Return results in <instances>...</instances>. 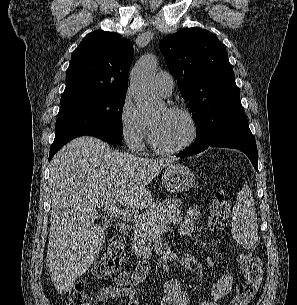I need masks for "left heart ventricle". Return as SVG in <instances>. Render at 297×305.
Returning <instances> with one entry per match:
<instances>
[{
    "label": "left heart ventricle",
    "mask_w": 297,
    "mask_h": 305,
    "mask_svg": "<svg viewBox=\"0 0 297 305\" xmlns=\"http://www.w3.org/2000/svg\"><path fill=\"white\" fill-rule=\"evenodd\" d=\"M155 140L163 147H175L190 136L189 121L182 115L171 113L166 108L157 111L151 118Z\"/></svg>",
    "instance_id": "b2bd125f"
}]
</instances>
